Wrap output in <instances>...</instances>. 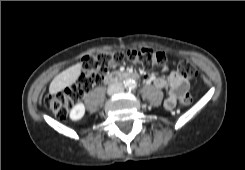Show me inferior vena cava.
I'll use <instances>...</instances> for the list:
<instances>
[{"label":"inferior vena cava","mask_w":245,"mask_h":170,"mask_svg":"<svg viewBox=\"0 0 245 170\" xmlns=\"http://www.w3.org/2000/svg\"><path fill=\"white\" fill-rule=\"evenodd\" d=\"M123 89H124L123 85L121 83L116 82V83L109 85L108 92L110 94H116V93L123 91Z\"/></svg>","instance_id":"inferior-vena-cava-1"}]
</instances>
